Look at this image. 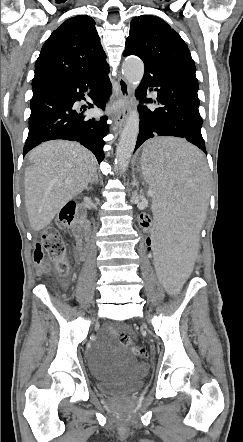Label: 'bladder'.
<instances>
[{
	"mask_svg": "<svg viewBox=\"0 0 243 442\" xmlns=\"http://www.w3.org/2000/svg\"><path fill=\"white\" fill-rule=\"evenodd\" d=\"M90 370L97 379V390L110 396H126L138 391L146 372L143 365L128 354L110 361L99 358Z\"/></svg>",
	"mask_w": 243,
	"mask_h": 442,
	"instance_id": "1",
	"label": "bladder"
}]
</instances>
